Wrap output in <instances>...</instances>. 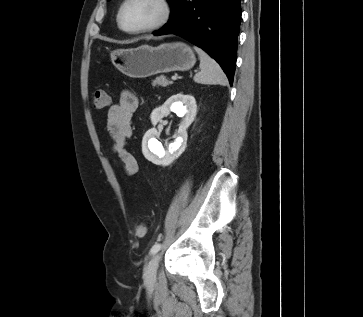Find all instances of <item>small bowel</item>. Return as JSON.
Instances as JSON below:
<instances>
[{
	"label": "small bowel",
	"mask_w": 363,
	"mask_h": 317,
	"mask_svg": "<svg viewBox=\"0 0 363 317\" xmlns=\"http://www.w3.org/2000/svg\"><path fill=\"white\" fill-rule=\"evenodd\" d=\"M138 106V97L125 90L121 92L118 102L109 107L107 113V131L112 139V151L128 175H134L138 171L136 158L127 150V140L133 132L132 119Z\"/></svg>",
	"instance_id": "1"
}]
</instances>
